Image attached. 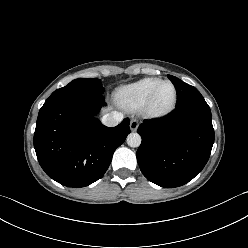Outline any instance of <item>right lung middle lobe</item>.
I'll use <instances>...</instances> for the list:
<instances>
[{
	"label": "right lung middle lobe",
	"instance_id": "dd1d6c3e",
	"mask_svg": "<svg viewBox=\"0 0 248 248\" xmlns=\"http://www.w3.org/2000/svg\"><path fill=\"white\" fill-rule=\"evenodd\" d=\"M62 92H87L92 94L102 95L104 87L99 79H75L65 87L57 89L52 94ZM51 94V95H52Z\"/></svg>",
	"mask_w": 248,
	"mask_h": 248
}]
</instances>
